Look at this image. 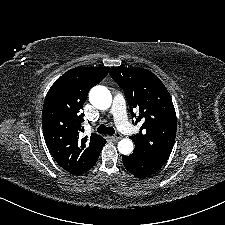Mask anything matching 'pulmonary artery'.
<instances>
[{
  "instance_id": "1",
  "label": "pulmonary artery",
  "mask_w": 225,
  "mask_h": 225,
  "mask_svg": "<svg viewBox=\"0 0 225 225\" xmlns=\"http://www.w3.org/2000/svg\"><path fill=\"white\" fill-rule=\"evenodd\" d=\"M125 99L121 95H116L109 105L108 113L114 117L121 131L130 132V126L126 118Z\"/></svg>"
}]
</instances>
